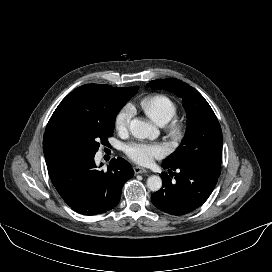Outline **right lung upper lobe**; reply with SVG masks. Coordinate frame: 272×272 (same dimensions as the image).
Listing matches in <instances>:
<instances>
[{
  "label": "right lung upper lobe",
  "instance_id": "1",
  "mask_svg": "<svg viewBox=\"0 0 272 272\" xmlns=\"http://www.w3.org/2000/svg\"><path fill=\"white\" fill-rule=\"evenodd\" d=\"M136 87L86 84L69 93L58 105L46 126L43 151L48 164L52 163L49 159L52 154L53 138L59 128L90 124L106 125L117 107L136 94Z\"/></svg>",
  "mask_w": 272,
  "mask_h": 272
}]
</instances>
